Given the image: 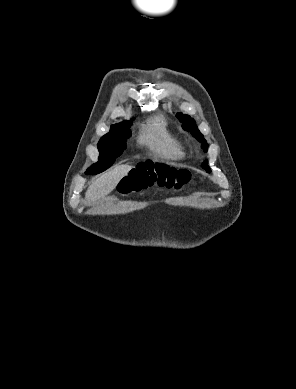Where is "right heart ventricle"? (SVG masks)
Here are the masks:
<instances>
[{"label": "right heart ventricle", "instance_id": "right-heart-ventricle-1", "mask_svg": "<svg viewBox=\"0 0 296 389\" xmlns=\"http://www.w3.org/2000/svg\"><path fill=\"white\" fill-rule=\"evenodd\" d=\"M139 142L157 157L168 160H180L184 157L180 140L170 131L166 122L161 118L150 120L142 128Z\"/></svg>", "mask_w": 296, "mask_h": 389}]
</instances>
